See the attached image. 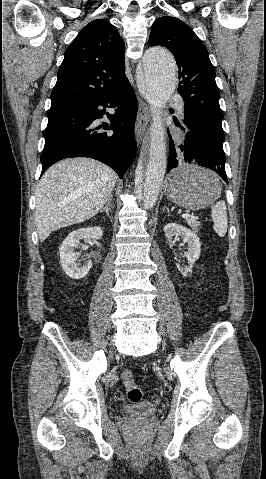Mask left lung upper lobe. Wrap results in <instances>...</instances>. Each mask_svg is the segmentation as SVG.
<instances>
[{
	"mask_svg": "<svg viewBox=\"0 0 266 479\" xmlns=\"http://www.w3.org/2000/svg\"><path fill=\"white\" fill-rule=\"evenodd\" d=\"M150 46L168 48L178 65V92L185 101V125L207 147L213 160L225 159L223 113L215 70L206 47L194 31L175 17H160L152 26Z\"/></svg>",
	"mask_w": 266,
	"mask_h": 479,
	"instance_id": "left-lung-upper-lobe-1",
	"label": "left lung upper lobe"
}]
</instances>
